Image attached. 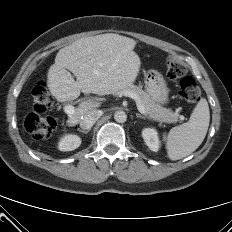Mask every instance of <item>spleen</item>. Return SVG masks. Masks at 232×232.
<instances>
[{"label": "spleen", "mask_w": 232, "mask_h": 232, "mask_svg": "<svg viewBox=\"0 0 232 232\" xmlns=\"http://www.w3.org/2000/svg\"><path fill=\"white\" fill-rule=\"evenodd\" d=\"M209 122V106L206 99L202 98L188 122L173 127L167 135H164L168 157L171 160H179L194 152L203 142Z\"/></svg>", "instance_id": "spleen-1"}]
</instances>
